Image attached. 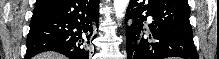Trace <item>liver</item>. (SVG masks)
Segmentation results:
<instances>
[{
    "label": "liver",
    "instance_id": "1",
    "mask_svg": "<svg viewBox=\"0 0 219 59\" xmlns=\"http://www.w3.org/2000/svg\"><path fill=\"white\" fill-rule=\"evenodd\" d=\"M34 59H66L65 56L56 52H44L34 57Z\"/></svg>",
    "mask_w": 219,
    "mask_h": 59
}]
</instances>
